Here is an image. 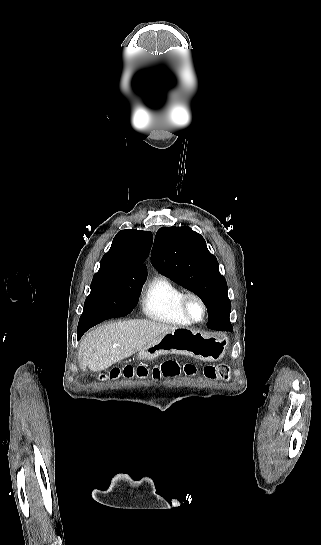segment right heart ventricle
Segmentation results:
<instances>
[{
    "instance_id": "1",
    "label": "right heart ventricle",
    "mask_w": 321,
    "mask_h": 545,
    "mask_svg": "<svg viewBox=\"0 0 321 545\" xmlns=\"http://www.w3.org/2000/svg\"><path fill=\"white\" fill-rule=\"evenodd\" d=\"M185 293L169 277L163 274L151 276L142 298V312L148 319L176 328L189 327L191 324L183 317L179 302Z\"/></svg>"
}]
</instances>
